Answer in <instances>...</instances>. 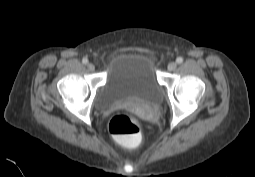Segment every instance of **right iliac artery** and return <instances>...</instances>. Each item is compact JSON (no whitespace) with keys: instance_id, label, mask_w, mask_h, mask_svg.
I'll return each mask as SVG.
<instances>
[{"instance_id":"1","label":"right iliac artery","mask_w":255,"mask_h":177,"mask_svg":"<svg viewBox=\"0 0 255 177\" xmlns=\"http://www.w3.org/2000/svg\"><path fill=\"white\" fill-rule=\"evenodd\" d=\"M82 62H83V64H87L88 63V59L87 58H83Z\"/></svg>"}]
</instances>
